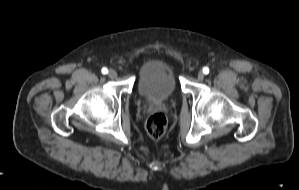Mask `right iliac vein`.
<instances>
[{"instance_id":"1","label":"right iliac vein","mask_w":299,"mask_h":190,"mask_svg":"<svg viewBox=\"0 0 299 190\" xmlns=\"http://www.w3.org/2000/svg\"><path fill=\"white\" fill-rule=\"evenodd\" d=\"M108 76L111 78V79H114L117 77V72L113 69L109 70V73H108Z\"/></svg>"}]
</instances>
